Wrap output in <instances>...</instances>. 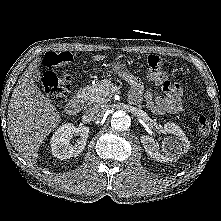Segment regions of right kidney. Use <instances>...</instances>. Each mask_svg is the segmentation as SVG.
Listing matches in <instances>:
<instances>
[{
	"label": "right kidney",
	"mask_w": 221,
	"mask_h": 221,
	"mask_svg": "<svg viewBox=\"0 0 221 221\" xmlns=\"http://www.w3.org/2000/svg\"><path fill=\"white\" fill-rule=\"evenodd\" d=\"M88 133L89 127L87 126L75 127L72 123L63 124L51 137L52 154L61 160L78 156L85 148ZM76 135H79L77 143L70 144L71 139Z\"/></svg>",
	"instance_id": "right-kidney-1"
}]
</instances>
